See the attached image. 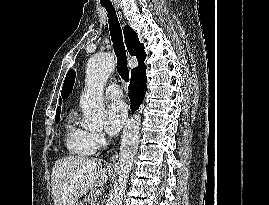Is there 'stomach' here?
<instances>
[{
  "instance_id": "1",
  "label": "stomach",
  "mask_w": 269,
  "mask_h": 205,
  "mask_svg": "<svg viewBox=\"0 0 269 205\" xmlns=\"http://www.w3.org/2000/svg\"><path fill=\"white\" fill-rule=\"evenodd\" d=\"M75 205H85L84 202H79V203H76Z\"/></svg>"
}]
</instances>
